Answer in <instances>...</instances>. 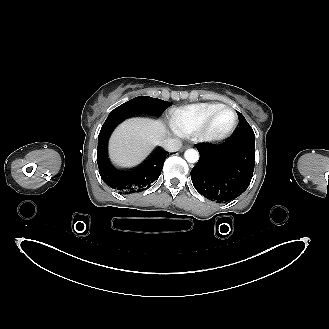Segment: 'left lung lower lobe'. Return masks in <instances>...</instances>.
Returning <instances> with one entry per match:
<instances>
[{
	"label": "left lung lower lobe",
	"instance_id": "0a47b994",
	"mask_svg": "<svg viewBox=\"0 0 329 329\" xmlns=\"http://www.w3.org/2000/svg\"><path fill=\"white\" fill-rule=\"evenodd\" d=\"M196 147L200 158L191 170V179L201 195L228 202L248 188L255 164V137H231L222 144Z\"/></svg>",
	"mask_w": 329,
	"mask_h": 329
}]
</instances>
